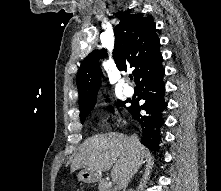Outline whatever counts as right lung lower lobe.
Listing matches in <instances>:
<instances>
[{
  "mask_svg": "<svg viewBox=\"0 0 221 191\" xmlns=\"http://www.w3.org/2000/svg\"><path fill=\"white\" fill-rule=\"evenodd\" d=\"M163 75L164 68L162 67V57H160L136 80V84L140 88L138 99L145 100L144 103L139 105L138 101H133L128 107V111L140 125L141 143L154 151L159 150L161 128L164 124L163 115L167 108V102L164 99ZM141 110L146 111V115H141Z\"/></svg>",
  "mask_w": 221,
  "mask_h": 191,
  "instance_id": "1",
  "label": "right lung lower lobe"
}]
</instances>
